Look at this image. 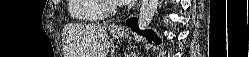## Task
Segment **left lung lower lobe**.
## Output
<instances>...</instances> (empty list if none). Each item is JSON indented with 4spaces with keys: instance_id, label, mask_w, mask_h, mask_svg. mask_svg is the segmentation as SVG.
Returning <instances> with one entry per match:
<instances>
[{
    "instance_id": "1",
    "label": "left lung lower lobe",
    "mask_w": 249,
    "mask_h": 57,
    "mask_svg": "<svg viewBox=\"0 0 249 57\" xmlns=\"http://www.w3.org/2000/svg\"><path fill=\"white\" fill-rule=\"evenodd\" d=\"M126 25L129 26L130 28H132L134 31H136V32L142 34L143 36L147 37L149 40L155 41L157 44H159L161 42L160 39L155 36L153 31H151V30L141 31L139 29V27H138V21H137L136 18L128 19L126 21Z\"/></svg>"
}]
</instances>
